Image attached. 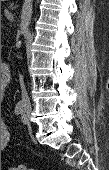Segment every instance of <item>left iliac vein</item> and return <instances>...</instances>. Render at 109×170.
Wrapping results in <instances>:
<instances>
[{"mask_svg":"<svg viewBox=\"0 0 109 170\" xmlns=\"http://www.w3.org/2000/svg\"><path fill=\"white\" fill-rule=\"evenodd\" d=\"M22 122L24 124H28L29 123V117H28V115L26 113H24L23 116H22Z\"/></svg>","mask_w":109,"mask_h":170,"instance_id":"1","label":"left iliac vein"}]
</instances>
